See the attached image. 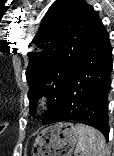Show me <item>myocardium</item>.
Here are the masks:
<instances>
[{"mask_svg":"<svg viewBox=\"0 0 114 156\" xmlns=\"http://www.w3.org/2000/svg\"><path fill=\"white\" fill-rule=\"evenodd\" d=\"M49 106V99L46 95H42L37 101V107L39 109L45 110Z\"/></svg>","mask_w":114,"mask_h":156,"instance_id":"f54148a6","label":"myocardium"}]
</instances>
